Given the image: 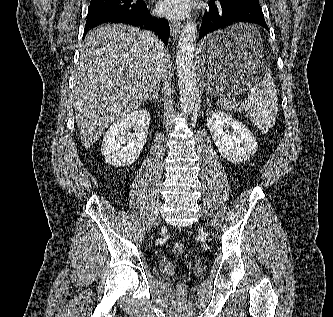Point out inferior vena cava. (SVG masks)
Listing matches in <instances>:
<instances>
[{
  "label": "inferior vena cava",
  "instance_id": "obj_1",
  "mask_svg": "<svg viewBox=\"0 0 333 317\" xmlns=\"http://www.w3.org/2000/svg\"><path fill=\"white\" fill-rule=\"evenodd\" d=\"M166 67H167V60L165 59V54L162 53V57H160L157 64V70H156L157 83L163 77Z\"/></svg>",
  "mask_w": 333,
  "mask_h": 317
}]
</instances>
